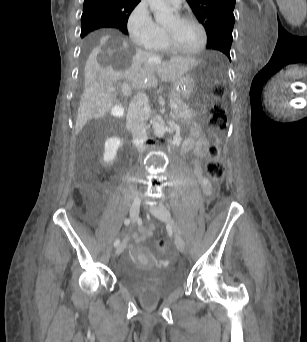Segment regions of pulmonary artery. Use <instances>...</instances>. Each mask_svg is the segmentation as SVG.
<instances>
[{
	"label": "pulmonary artery",
	"instance_id": "pulmonary-artery-1",
	"mask_svg": "<svg viewBox=\"0 0 307 342\" xmlns=\"http://www.w3.org/2000/svg\"><path fill=\"white\" fill-rule=\"evenodd\" d=\"M167 2H168L170 5L177 7V6H179V5L181 4V2H183V1H167Z\"/></svg>",
	"mask_w": 307,
	"mask_h": 342
}]
</instances>
